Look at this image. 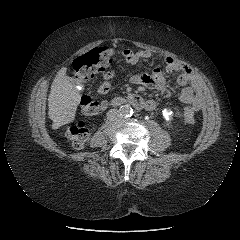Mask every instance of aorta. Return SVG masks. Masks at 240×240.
<instances>
[{"instance_id":"aorta-1","label":"aorta","mask_w":240,"mask_h":240,"mask_svg":"<svg viewBox=\"0 0 240 240\" xmlns=\"http://www.w3.org/2000/svg\"><path fill=\"white\" fill-rule=\"evenodd\" d=\"M119 113L122 117H128V116L132 115L133 110H132V107L130 105L126 104V105H122L119 108Z\"/></svg>"}]
</instances>
